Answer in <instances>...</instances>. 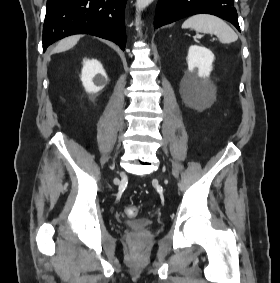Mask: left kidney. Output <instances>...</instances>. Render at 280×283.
<instances>
[{"label":"left kidney","instance_id":"obj_1","mask_svg":"<svg viewBox=\"0 0 280 283\" xmlns=\"http://www.w3.org/2000/svg\"><path fill=\"white\" fill-rule=\"evenodd\" d=\"M214 54L207 48L191 45L188 50L187 63L188 69L193 72L197 69V75L201 78L209 77L212 71Z\"/></svg>","mask_w":280,"mask_h":283}]
</instances>
